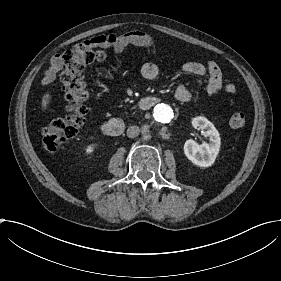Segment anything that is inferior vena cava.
<instances>
[{
  "instance_id": "602c4592",
  "label": "inferior vena cava",
  "mask_w": 281,
  "mask_h": 281,
  "mask_svg": "<svg viewBox=\"0 0 281 281\" xmlns=\"http://www.w3.org/2000/svg\"><path fill=\"white\" fill-rule=\"evenodd\" d=\"M140 133V129L138 126H130L128 129H127V136L129 138H135L139 135Z\"/></svg>"
}]
</instances>
